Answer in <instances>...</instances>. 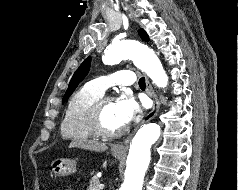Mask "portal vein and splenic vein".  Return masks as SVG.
Segmentation results:
<instances>
[{
    "mask_svg": "<svg viewBox=\"0 0 238 190\" xmlns=\"http://www.w3.org/2000/svg\"><path fill=\"white\" fill-rule=\"evenodd\" d=\"M105 185L104 184H100V190L104 189Z\"/></svg>",
    "mask_w": 238,
    "mask_h": 190,
    "instance_id": "obj_1",
    "label": "portal vein and splenic vein"
}]
</instances>
